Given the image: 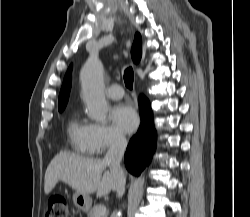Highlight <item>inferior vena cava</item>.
I'll return each mask as SVG.
<instances>
[{
	"label": "inferior vena cava",
	"instance_id": "inferior-vena-cava-1",
	"mask_svg": "<svg viewBox=\"0 0 250 217\" xmlns=\"http://www.w3.org/2000/svg\"><path fill=\"white\" fill-rule=\"evenodd\" d=\"M126 146V138L122 134H115L111 140L109 150L103 159V162L110 167L111 173L116 177V192L118 197H122L125 192L126 178L120 162Z\"/></svg>",
	"mask_w": 250,
	"mask_h": 217
}]
</instances>
